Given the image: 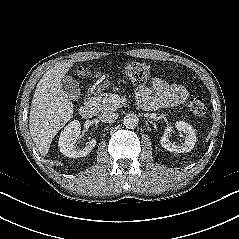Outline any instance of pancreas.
<instances>
[{"instance_id": "obj_1", "label": "pancreas", "mask_w": 239, "mask_h": 239, "mask_svg": "<svg viewBox=\"0 0 239 239\" xmlns=\"http://www.w3.org/2000/svg\"><path fill=\"white\" fill-rule=\"evenodd\" d=\"M122 105L113 100L112 94H105L102 99L96 103V107L100 112H110L119 109Z\"/></svg>"}]
</instances>
